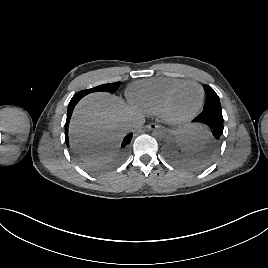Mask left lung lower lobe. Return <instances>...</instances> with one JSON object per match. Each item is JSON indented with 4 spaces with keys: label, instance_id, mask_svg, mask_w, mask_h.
Masks as SVG:
<instances>
[{
    "label": "left lung lower lobe",
    "instance_id": "0a47b994",
    "mask_svg": "<svg viewBox=\"0 0 268 268\" xmlns=\"http://www.w3.org/2000/svg\"><path fill=\"white\" fill-rule=\"evenodd\" d=\"M200 121L206 124L210 130L212 131L211 145L213 148L217 147L220 143V139L223 135V116L222 110L216 109H207L203 110L194 120ZM172 157L176 158V156L172 153Z\"/></svg>",
    "mask_w": 268,
    "mask_h": 268
}]
</instances>
